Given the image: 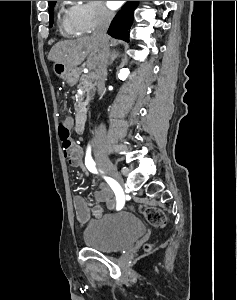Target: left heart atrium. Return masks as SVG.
<instances>
[{
  "mask_svg": "<svg viewBox=\"0 0 237 300\" xmlns=\"http://www.w3.org/2000/svg\"><path fill=\"white\" fill-rule=\"evenodd\" d=\"M124 1H107V4L109 5V7H111L112 9H116L119 6L122 5Z\"/></svg>",
  "mask_w": 237,
  "mask_h": 300,
  "instance_id": "39dd6f15",
  "label": "left heart atrium"
}]
</instances>
